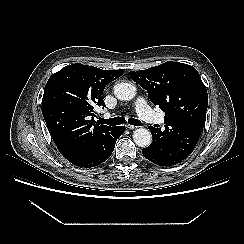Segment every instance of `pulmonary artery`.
I'll list each match as a JSON object with an SVG mask.
<instances>
[{
    "instance_id": "e3ab8cb5",
    "label": "pulmonary artery",
    "mask_w": 244,
    "mask_h": 244,
    "mask_svg": "<svg viewBox=\"0 0 244 244\" xmlns=\"http://www.w3.org/2000/svg\"><path fill=\"white\" fill-rule=\"evenodd\" d=\"M135 109L139 117L151 124H162L164 117L152 111L143 97H139L135 103Z\"/></svg>"
}]
</instances>
